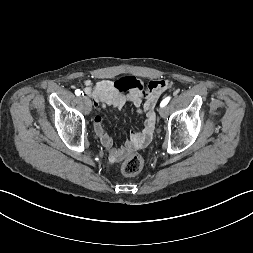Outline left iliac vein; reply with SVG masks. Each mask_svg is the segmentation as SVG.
I'll list each match as a JSON object with an SVG mask.
<instances>
[{
    "instance_id": "4c4485c4",
    "label": "left iliac vein",
    "mask_w": 253,
    "mask_h": 253,
    "mask_svg": "<svg viewBox=\"0 0 253 253\" xmlns=\"http://www.w3.org/2000/svg\"><path fill=\"white\" fill-rule=\"evenodd\" d=\"M158 111L161 117H165L168 113V109L166 107H160Z\"/></svg>"
}]
</instances>
